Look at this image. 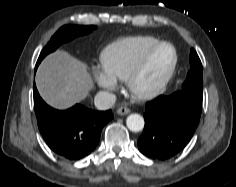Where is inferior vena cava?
<instances>
[{
    "mask_svg": "<svg viewBox=\"0 0 236 187\" xmlns=\"http://www.w3.org/2000/svg\"><path fill=\"white\" fill-rule=\"evenodd\" d=\"M116 101V96L106 91H100L96 94L94 104L99 110H107L111 108Z\"/></svg>",
    "mask_w": 236,
    "mask_h": 187,
    "instance_id": "602c4592",
    "label": "inferior vena cava"
}]
</instances>
